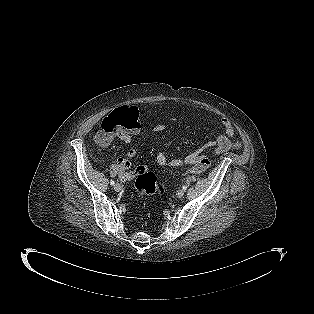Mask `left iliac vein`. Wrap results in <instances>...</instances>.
Segmentation results:
<instances>
[{"label":"left iliac vein","instance_id":"1","mask_svg":"<svg viewBox=\"0 0 314 314\" xmlns=\"http://www.w3.org/2000/svg\"><path fill=\"white\" fill-rule=\"evenodd\" d=\"M185 191L183 189H180L176 192V196L178 198H181L184 195Z\"/></svg>","mask_w":314,"mask_h":314}]
</instances>
